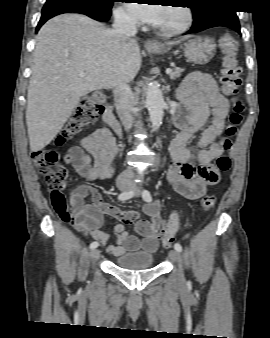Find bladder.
I'll list each match as a JSON object with an SVG mask.
<instances>
[{
	"mask_svg": "<svg viewBox=\"0 0 270 338\" xmlns=\"http://www.w3.org/2000/svg\"><path fill=\"white\" fill-rule=\"evenodd\" d=\"M154 255L150 253H123L115 261V265L122 269L142 270L154 266Z\"/></svg>",
	"mask_w": 270,
	"mask_h": 338,
	"instance_id": "31cf9c89",
	"label": "bladder"
}]
</instances>
